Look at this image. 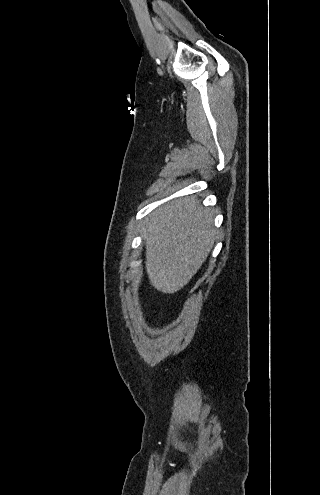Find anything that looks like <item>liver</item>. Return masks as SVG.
Masks as SVG:
<instances>
[{
    "label": "liver",
    "instance_id": "6515ba94",
    "mask_svg": "<svg viewBox=\"0 0 320 495\" xmlns=\"http://www.w3.org/2000/svg\"><path fill=\"white\" fill-rule=\"evenodd\" d=\"M213 215L191 196L172 201L145 221V267L150 283L173 294L197 273L213 248Z\"/></svg>",
    "mask_w": 320,
    "mask_h": 495
}]
</instances>
